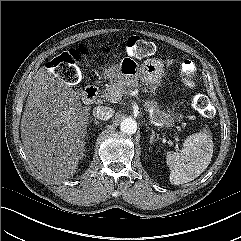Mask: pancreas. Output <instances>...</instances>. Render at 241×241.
<instances>
[{
    "instance_id": "cf45deb5",
    "label": "pancreas",
    "mask_w": 241,
    "mask_h": 241,
    "mask_svg": "<svg viewBox=\"0 0 241 241\" xmlns=\"http://www.w3.org/2000/svg\"><path fill=\"white\" fill-rule=\"evenodd\" d=\"M120 92L121 96L117 98L119 101L122 97V94L125 93V88L117 82H111L106 88L103 90V96L110 99L114 98L115 93ZM148 109L153 110V118L156 121L163 122L166 125H171L174 122V117L171 115L166 114L165 112L159 110L157 103L155 101H147L146 104Z\"/></svg>"
}]
</instances>
